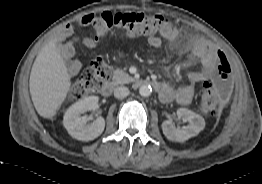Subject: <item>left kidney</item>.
Wrapping results in <instances>:
<instances>
[{
    "instance_id": "left-kidney-1",
    "label": "left kidney",
    "mask_w": 262,
    "mask_h": 184,
    "mask_svg": "<svg viewBox=\"0 0 262 184\" xmlns=\"http://www.w3.org/2000/svg\"><path fill=\"white\" fill-rule=\"evenodd\" d=\"M177 115L189 121V125L182 129H177L172 121H164L162 123L163 134L170 141L185 142L189 138L197 136L205 128L204 118L187 108H179Z\"/></svg>"
}]
</instances>
